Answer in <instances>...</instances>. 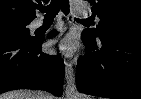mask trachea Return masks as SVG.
I'll use <instances>...</instances> for the list:
<instances>
[{
  "mask_svg": "<svg viewBox=\"0 0 141 99\" xmlns=\"http://www.w3.org/2000/svg\"><path fill=\"white\" fill-rule=\"evenodd\" d=\"M40 12L46 13L45 20L53 21L55 16L61 9L64 14H69V1L68 0H52L48 6H41L38 8ZM79 21V19H77ZM81 22H88L87 19L80 20Z\"/></svg>",
  "mask_w": 141,
  "mask_h": 99,
  "instance_id": "obj_1",
  "label": "trachea"
}]
</instances>
